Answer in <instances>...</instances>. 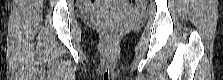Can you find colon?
<instances>
[{
  "label": "colon",
  "instance_id": "1",
  "mask_svg": "<svg viewBox=\"0 0 223 80\" xmlns=\"http://www.w3.org/2000/svg\"><path fill=\"white\" fill-rule=\"evenodd\" d=\"M128 4L133 8H141L145 4V0H128ZM115 33L112 30H105V37L108 40H111L114 37Z\"/></svg>",
  "mask_w": 223,
  "mask_h": 80
}]
</instances>
